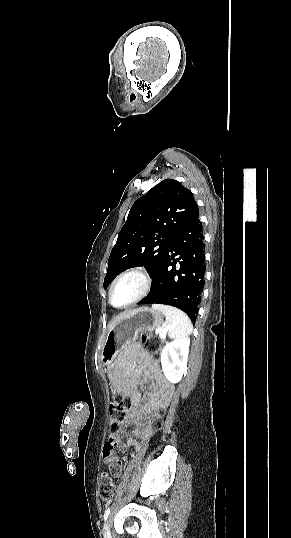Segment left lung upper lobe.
Instances as JSON below:
<instances>
[{
	"mask_svg": "<svg viewBox=\"0 0 291 538\" xmlns=\"http://www.w3.org/2000/svg\"><path fill=\"white\" fill-rule=\"evenodd\" d=\"M197 211L193 193L174 179L136 200L110 253L104 288L130 267L144 266L154 275L175 235Z\"/></svg>",
	"mask_w": 291,
	"mask_h": 538,
	"instance_id": "left-lung-upper-lobe-1",
	"label": "left lung upper lobe"
}]
</instances>
